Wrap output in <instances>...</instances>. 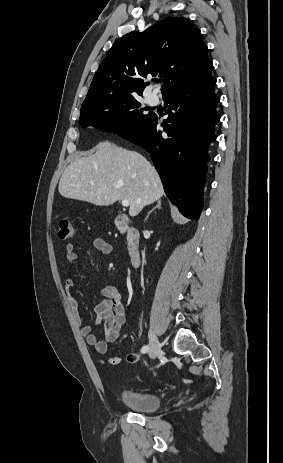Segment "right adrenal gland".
<instances>
[{"mask_svg":"<svg viewBox=\"0 0 283 463\" xmlns=\"http://www.w3.org/2000/svg\"><path fill=\"white\" fill-rule=\"evenodd\" d=\"M156 208H158V209H161V200H158V201H157V205H156V206H155V207H154V208H153L151 211H149V212H148V214H147V216H146V219H145V220H147V219H148V217H149L150 213H151L152 211H154Z\"/></svg>","mask_w":283,"mask_h":463,"instance_id":"1","label":"right adrenal gland"}]
</instances>
